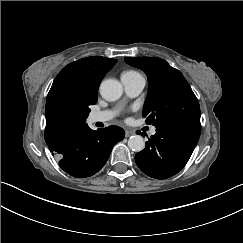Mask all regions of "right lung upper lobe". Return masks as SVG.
Here are the masks:
<instances>
[{
  "mask_svg": "<svg viewBox=\"0 0 243 243\" xmlns=\"http://www.w3.org/2000/svg\"><path fill=\"white\" fill-rule=\"evenodd\" d=\"M116 62V59L100 56L86 57L59 72L46 100V142L64 130L78 126L66 119V108L81 99L97 98L101 80Z\"/></svg>",
  "mask_w": 243,
  "mask_h": 243,
  "instance_id": "right-lung-upper-lobe-1",
  "label": "right lung upper lobe"
}]
</instances>
